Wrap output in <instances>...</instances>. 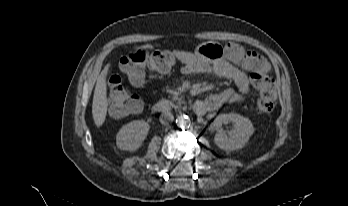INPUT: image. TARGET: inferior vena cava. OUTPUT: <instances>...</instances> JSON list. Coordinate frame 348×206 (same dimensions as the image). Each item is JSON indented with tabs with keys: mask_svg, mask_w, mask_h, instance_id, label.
<instances>
[{
	"mask_svg": "<svg viewBox=\"0 0 348 206\" xmlns=\"http://www.w3.org/2000/svg\"><path fill=\"white\" fill-rule=\"evenodd\" d=\"M174 120V116L171 112L165 111L160 115L161 124L168 125L170 122Z\"/></svg>",
	"mask_w": 348,
	"mask_h": 206,
	"instance_id": "inferior-vena-cava-1",
	"label": "inferior vena cava"
}]
</instances>
